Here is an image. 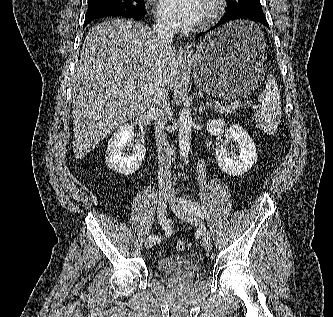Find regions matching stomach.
Listing matches in <instances>:
<instances>
[{"label":"stomach","instance_id":"stomach-1","mask_svg":"<svg viewBox=\"0 0 333 317\" xmlns=\"http://www.w3.org/2000/svg\"><path fill=\"white\" fill-rule=\"evenodd\" d=\"M260 24L234 21L205 36L188 62L199 89L222 100L260 95L270 82L264 75L265 41Z\"/></svg>","mask_w":333,"mask_h":317}]
</instances>
